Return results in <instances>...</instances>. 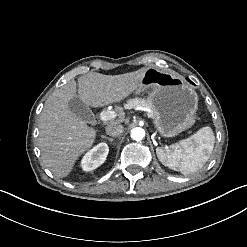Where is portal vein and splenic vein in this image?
Segmentation results:
<instances>
[{"mask_svg":"<svg viewBox=\"0 0 247 247\" xmlns=\"http://www.w3.org/2000/svg\"><path fill=\"white\" fill-rule=\"evenodd\" d=\"M118 116V113L115 111H103L101 113V119L104 121H110L115 119ZM157 145V143H155Z\"/></svg>","mask_w":247,"mask_h":247,"instance_id":"portal-vein-and-splenic-vein-1","label":"portal vein and splenic vein"}]
</instances>
